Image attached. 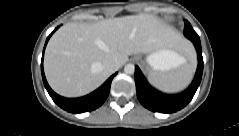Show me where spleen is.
Instances as JSON below:
<instances>
[{
    "label": "spleen",
    "mask_w": 239,
    "mask_h": 136,
    "mask_svg": "<svg viewBox=\"0 0 239 136\" xmlns=\"http://www.w3.org/2000/svg\"><path fill=\"white\" fill-rule=\"evenodd\" d=\"M192 77V68H180L169 72L152 71L148 75V79L153 86L168 93L185 89Z\"/></svg>",
    "instance_id": "obj_1"
}]
</instances>
